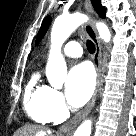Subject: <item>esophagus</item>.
<instances>
[{"mask_svg":"<svg viewBox=\"0 0 136 136\" xmlns=\"http://www.w3.org/2000/svg\"><path fill=\"white\" fill-rule=\"evenodd\" d=\"M83 8H84V11L86 14L93 16L94 11H93L90 0L83 1ZM85 31H86L88 37L92 40V42L95 45V54H94L93 60H94V64H95L96 72H97L96 88H95V91H94V94H93L91 100L85 106V108L82 109L80 112H78L70 121H68L66 124L61 126L60 131L64 132V133L72 132L73 129L77 126V124L91 112V110L93 109V107L95 105V101H96L98 91L100 88L101 76H102L101 43H100L99 37H98L96 30H95L92 23H90V22L86 23Z\"/></svg>","mask_w":136,"mask_h":136,"instance_id":"esophagus-1","label":"esophagus"}]
</instances>
